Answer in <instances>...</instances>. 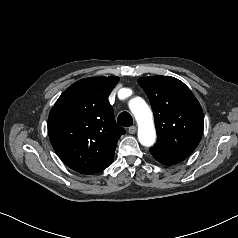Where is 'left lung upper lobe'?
Segmentation results:
<instances>
[{"mask_svg":"<svg viewBox=\"0 0 238 238\" xmlns=\"http://www.w3.org/2000/svg\"><path fill=\"white\" fill-rule=\"evenodd\" d=\"M138 84L151 103L157 142L152 150L186 158L198 146L204 128L202 108L190 89L171 76L141 77Z\"/></svg>","mask_w":238,"mask_h":238,"instance_id":"5c2ea615","label":"left lung upper lobe"}]
</instances>
